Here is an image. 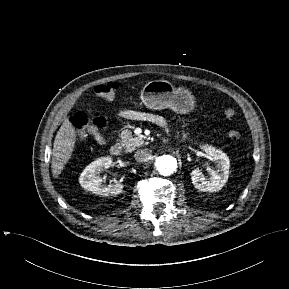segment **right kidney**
Masks as SVG:
<instances>
[{"label": "right kidney", "mask_w": 289, "mask_h": 289, "mask_svg": "<svg viewBox=\"0 0 289 289\" xmlns=\"http://www.w3.org/2000/svg\"><path fill=\"white\" fill-rule=\"evenodd\" d=\"M111 165V157H101L93 161L81 173L79 178L80 185L96 195L109 196L120 194L124 187L122 184L115 183L105 186L102 184V179L97 176L100 171L109 168Z\"/></svg>", "instance_id": "1"}]
</instances>
